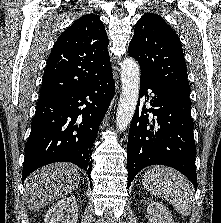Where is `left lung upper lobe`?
Instances as JSON below:
<instances>
[{
  "instance_id": "5c2ea615",
  "label": "left lung upper lobe",
  "mask_w": 221,
  "mask_h": 223,
  "mask_svg": "<svg viewBox=\"0 0 221 223\" xmlns=\"http://www.w3.org/2000/svg\"><path fill=\"white\" fill-rule=\"evenodd\" d=\"M129 54L138 61L141 78L189 95L181 42L161 16L147 13L138 20Z\"/></svg>"
}]
</instances>
